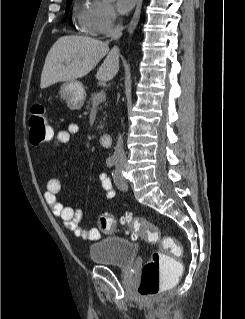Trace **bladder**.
<instances>
[{
  "mask_svg": "<svg viewBox=\"0 0 245 319\" xmlns=\"http://www.w3.org/2000/svg\"><path fill=\"white\" fill-rule=\"evenodd\" d=\"M138 246L120 237H106L95 240L89 247V255L94 263L126 268L133 264Z\"/></svg>",
  "mask_w": 245,
  "mask_h": 319,
  "instance_id": "1",
  "label": "bladder"
}]
</instances>
